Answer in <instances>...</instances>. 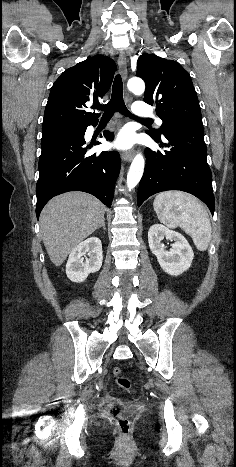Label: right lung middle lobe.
I'll list each match as a JSON object with an SVG mask.
<instances>
[{"label":"right lung middle lobe","mask_w":236,"mask_h":467,"mask_svg":"<svg viewBox=\"0 0 236 467\" xmlns=\"http://www.w3.org/2000/svg\"><path fill=\"white\" fill-rule=\"evenodd\" d=\"M85 128H71V129H60V130H52V131H46L42 133V140H47L67 134H72V133H77V132H82Z\"/></svg>","instance_id":"1"}]
</instances>
